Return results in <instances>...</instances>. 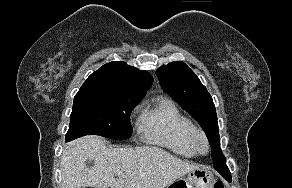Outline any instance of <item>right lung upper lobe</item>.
I'll list each match as a JSON object with an SVG mask.
<instances>
[{"label": "right lung upper lobe", "instance_id": "cb5924a9", "mask_svg": "<svg viewBox=\"0 0 292 188\" xmlns=\"http://www.w3.org/2000/svg\"><path fill=\"white\" fill-rule=\"evenodd\" d=\"M152 83L153 77L147 71H141L125 62L113 61L93 72L83 85L121 90L143 98Z\"/></svg>", "mask_w": 292, "mask_h": 188}]
</instances>
